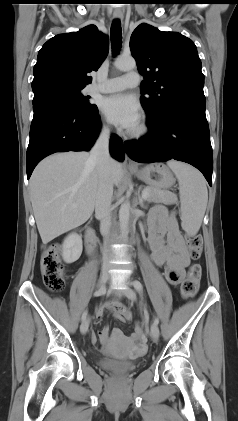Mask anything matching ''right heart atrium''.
<instances>
[{
  "mask_svg": "<svg viewBox=\"0 0 238 421\" xmlns=\"http://www.w3.org/2000/svg\"><path fill=\"white\" fill-rule=\"evenodd\" d=\"M102 130L106 133L110 131L109 125L107 123L102 124Z\"/></svg>",
  "mask_w": 238,
  "mask_h": 421,
  "instance_id": "d8ad5b80",
  "label": "right heart atrium"
}]
</instances>
